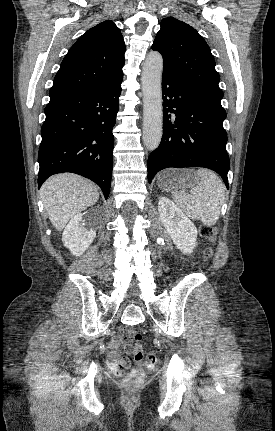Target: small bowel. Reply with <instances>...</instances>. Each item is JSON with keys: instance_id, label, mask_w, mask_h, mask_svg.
Wrapping results in <instances>:
<instances>
[{"instance_id": "1", "label": "small bowel", "mask_w": 275, "mask_h": 431, "mask_svg": "<svg viewBox=\"0 0 275 431\" xmlns=\"http://www.w3.org/2000/svg\"><path fill=\"white\" fill-rule=\"evenodd\" d=\"M122 342L125 343L127 353H131L133 351L125 333L121 332L112 339L108 348V363L111 369L114 371L117 370L120 364H127L128 362L127 358H124L122 360H119L118 358V348L122 344Z\"/></svg>"}]
</instances>
